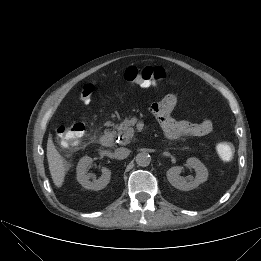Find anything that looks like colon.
<instances>
[{
    "label": "colon",
    "instance_id": "colon-1",
    "mask_svg": "<svg viewBox=\"0 0 261 261\" xmlns=\"http://www.w3.org/2000/svg\"><path fill=\"white\" fill-rule=\"evenodd\" d=\"M123 79L129 83L149 86L166 80V72L160 67H128L123 73ZM96 88V82H90L84 85L80 92V99L84 103H89ZM85 125L81 122L70 126H60L57 129V135L64 146L77 145L85 134ZM219 157L224 161H231L235 154L232 143L221 141L216 147Z\"/></svg>",
    "mask_w": 261,
    "mask_h": 261
}]
</instances>
